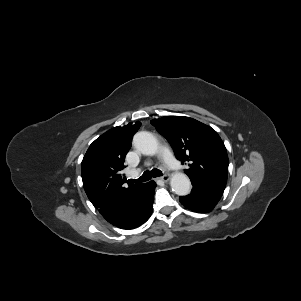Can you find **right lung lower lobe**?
Masks as SVG:
<instances>
[{"label":"right lung lower lobe","mask_w":301,"mask_h":301,"mask_svg":"<svg viewBox=\"0 0 301 301\" xmlns=\"http://www.w3.org/2000/svg\"><path fill=\"white\" fill-rule=\"evenodd\" d=\"M155 187L154 181L143 184L129 210L115 226L121 229H134L145 223L153 210Z\"/></svg>","instance_id":"right-lung-lower-lobe-1"}]
</instances>
